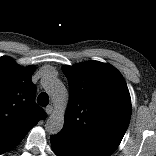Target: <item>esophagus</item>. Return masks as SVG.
I'll return each instance as SVG.
<instances>
[{
    "label": "esophagus",
    "instance_id": "esophagus-1",
    "mask_svg": "<svg viewBox=\"0 0 156 156\" xmlns=\"http://www.w3.org/2000/svg\"><path fill=\"white\" fill-rule=\"evenodd\" d=\"M45 112L50 115L52 114L53 112V106L52 105H48L46 108H45Z\"/></svg>",
    "mask_w": 156,
    "mask_h": 156
}]
</instances>
